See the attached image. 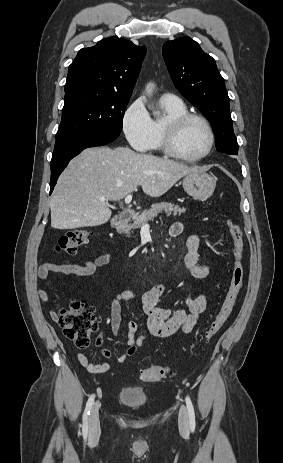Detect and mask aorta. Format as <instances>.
Returning a JSON list of instances; mask_svg holds the SVG:
<instances>
[{
	"instance_id": "762f6f07",
	"label": "aorta",
	"mask_w": 283,
	"mask_h": 463,
	"mask_svg": "<svg viewBox=\"0 0 283 463\" xmlns=\"http://www.w3.org/2000/svg\"><path fill=\"white\" fill-rule=\"evenodd\" d=\"M153 89H154V84L153 83H149L147 84L146 88H145V92L148 96H150L153 92ZM154 114H158L157 112H154Z\"/></svg>"
}]
</instances>
